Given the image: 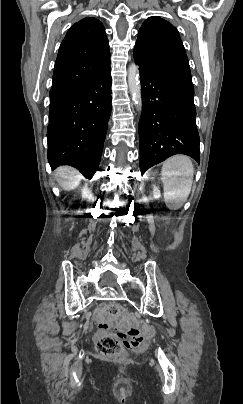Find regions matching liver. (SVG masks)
<instances>
[{"label": "liver", "mask_w": 243, "mask_h": 404, "mask_svg": "<svg viewBox=\"0 0 243 404\" xmlns=\"http://www.w3.org/2000/svg\"><path fill=\"white\" fill-rule=\"evenodd\" d=\"M56 174H58V178H63L60 184L64 190H75L82 180V176L76 170H73V168H68V166L58 168Z\"/></svg>", "instance_id": "1"}]
</instances>
